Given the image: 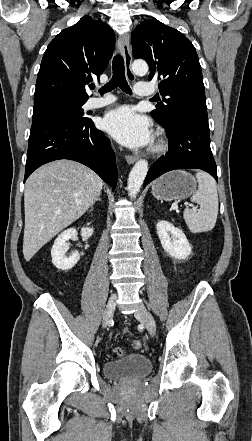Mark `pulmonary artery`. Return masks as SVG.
<instances>
[{"label": "pulmonary artery", "instance_id": "e3ab8cb5", "mask_svg": "<svg viewBox=\"0 0 252 441\" xmlns=\"http://www.w3.org/2000/svg\"><path fill=\"white\" fill-rule=\"evenodd\" d=\"M134 93L138 97H149L155 94V89L150 84L138 83L134 87ZM114 101H115V97H113L110 94H106L101 98L99 97L90 98L86 103V107L88 109L99 108L106 106Z\"/></svg>", "mask_w": 252, "mask_h": 441}]
</instances>
